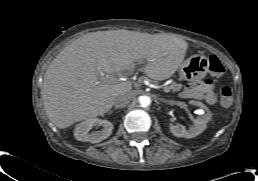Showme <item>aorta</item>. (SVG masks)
<instances>
[{
    "mask_svg": "<svg viewBox=\"0 0 258 181\" xmlns=\"http://www.w3.org/2000/svg\"><path fill=\"white\" fill-rule=\"evenodd\" d=\"M138 101L142 107H147L151 104V98L149 96H140Z\"/></svg>",
    "mask_w": 258,
    "mask_h": 181,
    "instance_id": "1",
    "label": "aorta"
}]
</instances>
